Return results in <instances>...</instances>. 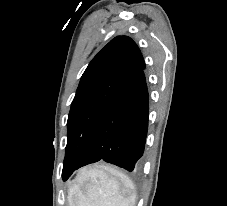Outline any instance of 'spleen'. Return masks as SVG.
I'll return each instance as SVG.
<instances>
[{"label":"spleen","mask_w":227,"mask_h":206,"mask_svg":"<svg viewBox=\"0 0 227 206\" xmlns=\"http://www.w3.org/2000/svg\"><path fill=\"white\" fill-rule=\"evenodd\" d=\"M136 197L128 177L104 167L84 171L70 187L68 200L70 206H135Z\"/></svg>","instance_id":"spleen-1"}]
</instances>
